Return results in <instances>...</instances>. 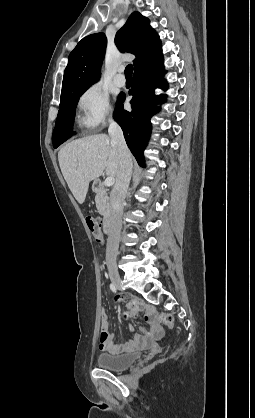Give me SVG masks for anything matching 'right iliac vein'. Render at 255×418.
Segmentation results:
<instances>
[{
    "mask_svg": "<svg viewBox=\"0 0 255 418\" xmlns=\"http://www.w3.org/2000/svg\"><path fill=\"white\" fill-rule=\"evenodd\" d=\"M109 276L116 287H121V278L116 268H110Z\"/></svg>",
    "mask_w": 255,
    "mask_h": 418,
    "instance_id": "63e3f726",
    "label": "right iliac vein"
}]
</instances>
